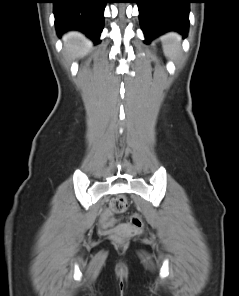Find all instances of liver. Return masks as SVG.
I'll return each mask as SVG.
<instances>
[{"label":"liver","mask_w":239,"mask_h":296,"mask_svg":"<svg viewBox=\"0 0 239 296\" xmlns=\"http://www.w3.org/2000/svg\"><path fill=\"white\" fill-rule=\"evenodd\" d=\"M63 41L66 52L73 58L85 56L92 48L91 42L77 31L64 35Z\"/></svg>","instance_id":"liver-1"}]
</instances>
